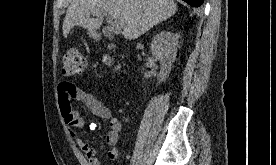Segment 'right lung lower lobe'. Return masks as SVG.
<instances>
[{"label":"right lung lower lobe","instance_id":"obj_1","mask_svg":"<svg viewBox=\"0 0 276 165\" xmlns=\"http://www.w3.org/2000/svg\"><path fill=\"white\" fill-rule=\"evenodd\" d=\"M193 7H199L203 4L204 0H183Z\"/></svg>","mask_w":276,"mask_h":165}]
</instances>
